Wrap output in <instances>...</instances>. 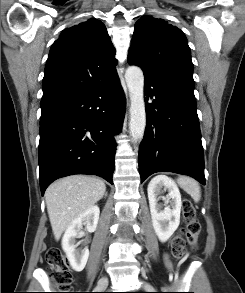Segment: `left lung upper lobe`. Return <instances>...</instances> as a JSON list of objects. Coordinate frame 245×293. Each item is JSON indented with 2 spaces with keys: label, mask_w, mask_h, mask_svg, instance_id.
<instances>
[{
  "label": "left lung upper lobe",
  "mask_w": 245,
  "mask_h": 293,
  "mask_svg": "<svg viewBox=\"0 0 245 293\" xmlns=\"http://www.w3.org/2000/svg\"><path fill=\"white\" fill-rule=\"evenodd\" d=\"M127 61L141 67L145 75L194 96L193 63L186 37L163 19L147 15L136 22Z\"/></svg>",
  "instance_id": "5c2ea615"
}]
</instances>
